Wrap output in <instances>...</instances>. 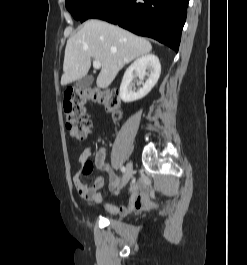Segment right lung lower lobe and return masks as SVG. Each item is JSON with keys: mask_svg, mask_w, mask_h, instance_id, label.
<instances>
[{"mask_svg": "<svg viewBox=\"0 0 247 265\" xmlns=\"http://www.w3.org/2000/svg\"><path fill=\"white\" fill-rule=\"evenodd\" d=\"M189 0H100L80 19L106 20L178 52Z\"/></svg>", "mask_w": 247, "mask_h": 265, "instance_id": "1", "label": "right lung lower lobe"}]
</instances>
